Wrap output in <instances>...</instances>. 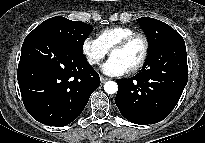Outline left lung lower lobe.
Segmentation results:
<instances>
[{"label": "left lung lower lobe", "instance_id": "obj_1", "mask_svg": "<svg viewBox=\"0 0 205 143\" xmlns=\"http://www.w3.org/2000/svg\"><path fill=\"white\" fill-rule=\"evenodd\" d=\"M154 55L164 59L159 58L152 68L141 69L132 78L117 80L115 103L127 120L139 125L165 119L188 81L186 47L181 35L164 41Z\"/></svg>", "mask_w": 205, "mask_h": 143}]
</instances>
